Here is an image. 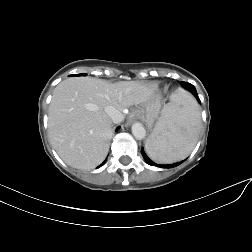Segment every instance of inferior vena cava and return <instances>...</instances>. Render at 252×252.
Segmentation results:
<instances>
[{"mask_svg": "<svg viewBox=\"0 0 252 252\" xmlns=\"http://www.w3.org/2000/svg\"><path fill=\"white\" fill-rule=\"evenodd\" d=\"M105 112L111 118L113 123H119L124 118L123 114L120 111H118L116 108H114L113 106L105 107Z\"/></svg>", "mask_w": 252, "mask_h": 252, "instance_id": "inferior-vena-cava-1", "label": "inferior vena cava"}]
</instances>
